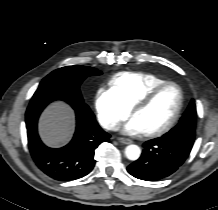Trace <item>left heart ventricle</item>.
Segmentation results:
<instances>
[{"mask_svg": "<svg viewBox=\"0 0 218 210\" xmlns=\"http://www.w3.org/2000/svg\"><path fill=\"white\" fill-rule=\"evenodd\" d=\"M179 102V93L175 86L162 89L145 108L138 110L135 117L143 132L157 130L165 126L173 117Z\"/></svg>", "mask_w": 218, "mask_h": 210, "instance_id": "b2bd125f", "label": "left heart ventricle"}]
</instances>
